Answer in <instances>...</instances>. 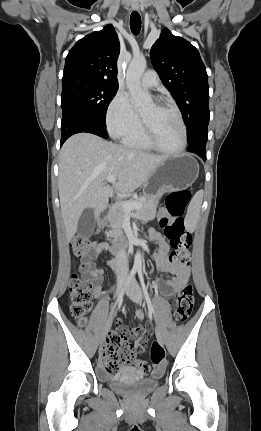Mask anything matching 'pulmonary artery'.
<instances>
[{"mask_svg": "<svg viewBox=\"0 0 261 431\" xmlns=\"http://www.w3.org/2000/svg\"><path fill=\"white\" fill-rule=\"evenodd\" d=\"M141 83L146 88H154L158 84V77L154 70H148L141 78Z\"/></svg>", "mask_w": 261, "mask_h": 431, "instance_id": "e3ab8cb5", "label": "pulmonary artery"}]
</instances>
